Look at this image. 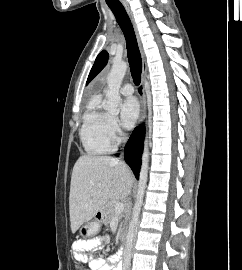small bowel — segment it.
Wrapping results in <instances>:
<instances>
[{
  "label": "small bowel",
  "mask_w": 242,
  "mask_h": 270,
  "mask_svg": "<svg viewBox=\"0 0 242 270\" xmlns=\"http://www.w3.org/2000/svg\"><path fill=\"white\" fill-rule=\"evenodd\" d=\"M105 243V238L76 243V258L88 262L93 270H121L120 256L118 254H114L107 259L93 256V252L102 248Z\"/></svg>",
  "instance_id": "1"
}]
</instances>
